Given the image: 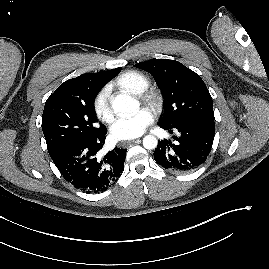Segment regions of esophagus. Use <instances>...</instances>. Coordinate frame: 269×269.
Instances as JSON below:
<instances>
[{"label":"esophagus","mask_w":269,"mask_h":269,"mask_svg":"<svg viewBox=\"0 0 269 269\" xmlns=\"http://www.w3.org/2000/svg\"><path fill=\"white\" fill-rule=\"evenodd\" d=\"M139 142H140V139H134V140H131V141H123L121 144H122L123 147H127L131 143H139Z\"/></svg>","instance_id":"34e87169"}]
</instances>
